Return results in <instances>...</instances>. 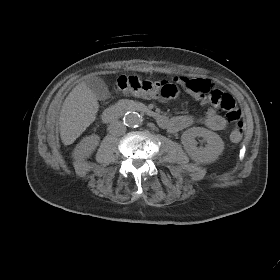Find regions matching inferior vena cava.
I'll use <instances>...</instances> for the list:
<instances>
[{"label":"inferior vena cava","mask_w":280,"mask_h":280,"mask_svg":"<svg viewBox=\"0 0 280 280\" xmlns=\"http://www.w3.org/2000/svg\"><path fill=\"white\" fill-rule=\"evenodd\" d=\"M109 132L114 136H121L126 132V126L121 121H113L109 126Z\"/></svg>","instance_id":"obj_1"}]
</instances>
